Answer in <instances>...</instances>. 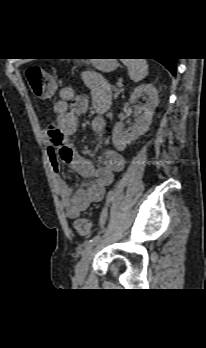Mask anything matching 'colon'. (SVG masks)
Returning a JSON list of instances; mask_svg holds the SVG:
<instances>
[{"instance_id":"obj_1","label":"colon","mask_w":206,"mask_h":348,"mask_svg":"<svg viewBox=\"0 0 206 348\" xmlns=\"http://www.w3.org/2000/svg\"><path fill=\"white\" fill-rule=\"evenodd\" d=\"M26 79L35 98L47 99L55 91L53 77L39 66H32L26 70ZM75 230L82 237H88L91 233V223L87 218H81L75 222Z\"/></svg>"}]
</instances>
